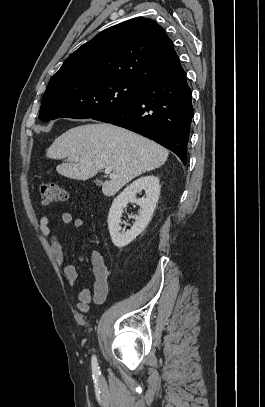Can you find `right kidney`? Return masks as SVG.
Here are the masks:
<instances>
[{
    "mask_svg": "<svg viewBox=\"0 0 265 407\" xmlns=\"http://www.w3.org/2000/svg\"><path fill=\"white\" fill-rule=\"evenodd\" d=\"M145 190L146 197L137 199L136 194ZM160 195L159 179L156 176H145L127 186L113 201L108 215V229L113 244L123 248L131 243L150 222ZM129 202L138 204L141 209L131 229L120 232L123 209Z\"/></svg>",
    "mask_w": 265,
    "mask_h": 407,
    "instance_id": "1",
    "label": "right kidney"
}]
</instances>
